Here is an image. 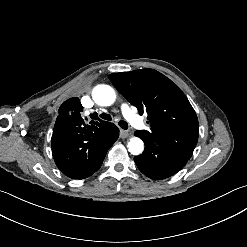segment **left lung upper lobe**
I'll return each instance as SVG.
<instances>
[{"mask_svg":"<svg viewBox=\"0 0 247 247\" xmlns=\"http://www.w3.org/2000/svg\"><path fill=\"white\" fill-rule=\"evenodd\" d=\"M108 77L140 114L147 112L151 132H137L158 146L190 159L198 141L199 125L181 89L153 69L113 73Z\"/></svg>","mask_w":247,"mask_h":247,"instance_id":"obj_1","label":"left lung upper lobe"}]
</instances>
